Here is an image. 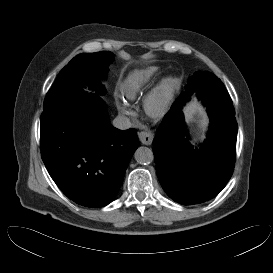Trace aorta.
<instances>
[{
	"label": "aorta",
	"instance_id": "1",
	"mask_svg": "<svg viewBox=\"0 0 273 273\" xmlns=\"http://www.w3.org/2000/svg\"><path fill=\"white\" fill-rule=\"evenodd\" d=\"M135 160L143 165L150 164L154 160L153 151L148 147H139L134 154Z\"/></svg>",
	"mask_w": 273,
	"mask_h": 273
}]
</instances>
